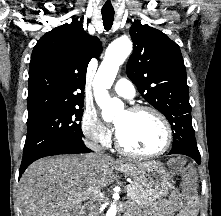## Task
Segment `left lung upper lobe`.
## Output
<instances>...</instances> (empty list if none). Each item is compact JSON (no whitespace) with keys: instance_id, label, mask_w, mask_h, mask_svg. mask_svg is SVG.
I'll return each mask as SVG.
<instances>
[{"instance_id":"left-lung-upper-lobe-1","label":"left lung upper lobe","mask_w":221,"mask_h":216,"mask_svg":"<svg viewBox=\"0 0 221 216\" xmlns=\"http://www.w3.org/2000/svg\"><path fill=\"white\" fill-rule=\"evenodd\" d=\"M134 50L127 75L143 98L159 110L173 129L171 150L200 154L191 120L186 68L179 46L163 32L134 21Z\"/></svg>"}]
</instances>
